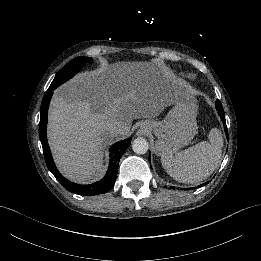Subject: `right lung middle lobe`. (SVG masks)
<instances>
[{
    "label": "right lung middle lobe",
    "mask_w": 261,
    "mask_h": 261,
    "mask_svg": "<svg viewBox=\"0 0 261 261\" xmlns=\"http://www.w3.org/2000/svg\"><path fill=\"white\" fill-rule=\"evenodd\" d=\"M93 60L90 57L79 56L67 63L55 76L49 89L54 90L70 78H72L85 64L91 63Z\"/></svg>",
    "instance_id": "1"
}]
</instances>
